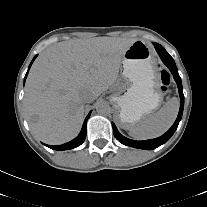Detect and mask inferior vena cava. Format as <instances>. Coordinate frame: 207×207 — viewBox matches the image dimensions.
<instances>
[{"mask_svg":"<svg viewBox=\"0 0 207 207\" xmlns=\"http://www.w3.org/2000/svg\"><path fill=\"white\" fill-rule=\"evenodd\" d=\"M81 99L84 103H91L93 102L94 98L91 93L84 91L81 93Z\"/></svg>","mask_w":207,"mask_h":207,"instance_id":"obj_1","label":"inferior vena cava"}]
</instances>
